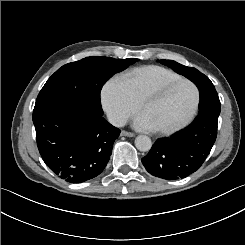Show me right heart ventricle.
Returning <instances> with one entry per match:
<instances>
[{
  "label": "right heart ventricle",
  "instance_id": "obj_1",
  "mask_svg": "<svg viewBox=\"0 0 245 245\" xmlns=\"http://www.w3.org/2000/svg\"><path fill=\"white\" fill-rule=\"evenodd\" d=\"M181 78L177 73L161 66L148 65L123 72L114 81L124 86L130 96L137 102L144 88L154 83Z\"/></svg>",
  "mask_w": 245,
  "mask_h": 245
}]
</instances>
